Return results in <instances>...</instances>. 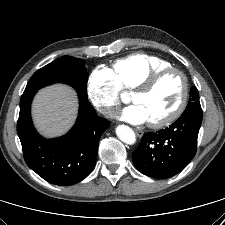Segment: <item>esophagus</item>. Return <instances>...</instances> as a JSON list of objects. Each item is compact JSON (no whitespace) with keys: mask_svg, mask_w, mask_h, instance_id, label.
I'll return each instance as SVG.
<instances>
[{"mask_svg":"<svg viewBox=\"0 0 225 225\" xmlns=\"http://www.w3.org/2000/svg\"><path fill=\"white\" fill-rule=\"evenodd\" d=\"M135 130V133L137 135V137L141 138L144 134V132L140 129H134Z\"/></svg>","mask_w":225,"mask_h":225,"instance_id":"esophagus-1","label":"esophagus"}]
</instances>
